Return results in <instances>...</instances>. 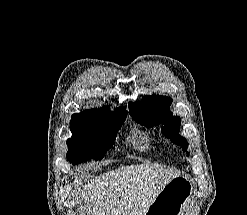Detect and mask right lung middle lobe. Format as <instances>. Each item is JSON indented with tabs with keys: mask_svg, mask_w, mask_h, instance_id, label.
<instances>
[{
	"mask_svg": "<svg viewBox=\"0 0 247 215\" xmlns=\"http://www.w3.org/2000/svg\"><path fill=\"white\" fill-rule=\"evenodd\" d=\"M126 114H101L83 111L72 115V137L67 140V159L73 165L89 159L101 160L109 150Z\"/></svg>",
	"mask_w": 247,
	"mask_h": 215,
	"instance_id": "1",
	"label": "right lung middle lobe"
}]
</instances>
